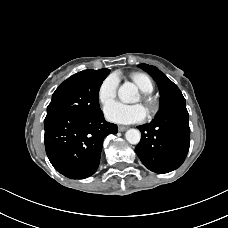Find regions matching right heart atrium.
I'll use <instances>...</instances> for the list:
<instances>
[{
    "label": "right heart atrium",
    "mask_w": 228,
    "mask_h": 228,
    "mask_svg": "<svg viewBox=\"0 0 228 228\" xmlns=\"http://www.w3.org/2000/svg\"><path fill=\"white\" fill-rule=\"evenodd\" d=\"M119 85V78L116 74L108 75L100 84L98 88V100L103 105L106 106L112 102L117 94V89Z\"/></svg>",
    "instance_id": "1"
}]
</instances>
